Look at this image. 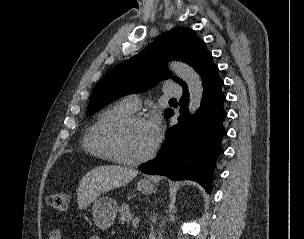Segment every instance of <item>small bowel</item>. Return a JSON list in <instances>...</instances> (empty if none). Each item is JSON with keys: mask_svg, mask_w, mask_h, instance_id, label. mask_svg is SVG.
<instances>
[{"mask_svg": "<svg viewBox=\"0 0 304 239\" xmlns=\"http://www.w3.org/2000/svg\"><path fill=\"white\" fill-rule=\"evenodd\" d=\"M49 239H63V232L61 229L56 228L50 232ZM90 239H100L97 236H92Z\"/></svg>", "mask_w": 304, "mask_h": 239, "instance_id": "c3829d8e", "label": "small bowel"}]
</instances>
